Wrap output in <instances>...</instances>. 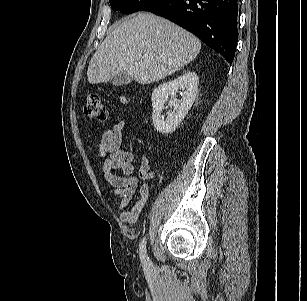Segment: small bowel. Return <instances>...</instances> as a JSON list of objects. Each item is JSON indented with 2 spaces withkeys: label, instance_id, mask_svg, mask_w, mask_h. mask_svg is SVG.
<instances>
[{
  "label": "small bowel",
  "instance_id": "c3829d8e",
  "mask_svg": "<svg viewBox=\"0 0 307 301\" xmlns=\"http://www.w3.org/2000/svg\"><path fill=\"white\" fill-rule=\"evenodd\" d=\"M126 128L124 120H118L111 128L103 131L100 140L97 142V153L99 157H108L102 164L104 178L112 185L115 194L119 198V208L127 206L137 190L140 193V199L129 211H124L120 215L123 222L133 223L140 215L147 198L149 189L146 184L139 185L141 180H151L154 173L150 171L149 162L146 157H142L139 165V176H133L135 169L133 162L126 160V153L120 150L123 132Z\"/></svg>",
  "mask_w": 307,
  "mask_h": 301
}]
</instances>
